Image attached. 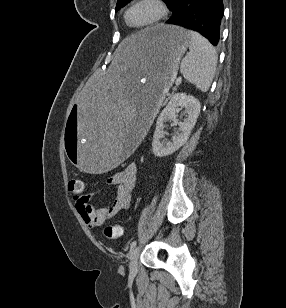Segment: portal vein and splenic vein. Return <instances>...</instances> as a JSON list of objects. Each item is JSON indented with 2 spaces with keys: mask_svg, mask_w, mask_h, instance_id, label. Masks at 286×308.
Masks as SVG:
<instances>
[{
  "mask_svg": "<svg viewBox=\"0 0 286 308\" xmlns=\"http://www.w3.org/2000/svg\"><path fill=\"white\" fill-rule=\"evenodd\" d=\"M181 80H182V78H181V77H178V78L176 79V81H175V85H176V86L180 85V84H181Z\"/></svg>",
  "mask_w": 286,
  "mask_h": 308,
  "instance_id": "obj_1",
  "label": "portal vein and splenic vein"
}]
</instances>
